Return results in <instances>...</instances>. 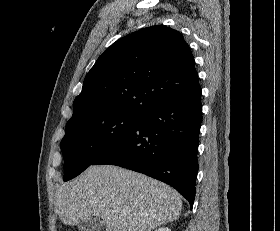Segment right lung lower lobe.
<instances>
[{
	"mask_svg": "<svg viewBox=\"0 0 280 231\" xmlns=\"http://www.w3.org/2000/svg\"><path fill=\"white\" fill-rule=\"evenodd\" d=\"M201 92L162 103L92 165L109 164L163 181L184 196L192 208L198 171Z\"/></svg>",
	"mask_w": 280,
	"mask_h": 231,
	"instance_id": "right-lung-lower-lobe-1",
	"label": "right lung lower lobe"
}]
</instances>
